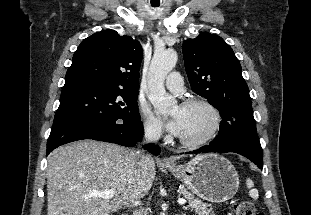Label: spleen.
<instances>
[{"mask_svg": "<svg viewBox=\"0 0 311 215\" xmlns=\"http://www.w3.org/2000/svg\"><path fill=\"white\" fill-rule=\"evenodd\" d=\"M246 185H247V187L250 189L249 195H250L254 200L258 199V197H259L258 190L253 188V186H254L253 181H252L251 179L248 178V179L246 180Z\"/></svg>", "mask_w": 311, "mask_h": 215, "instance_id": "3e777b00", "label": "spleen"}]
</instances>
